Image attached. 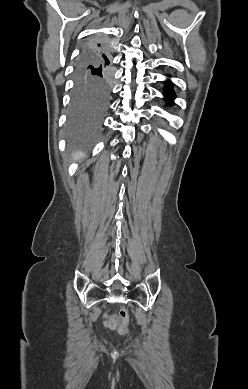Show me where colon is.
I'll use <instances>...</instances> for the list:
<instances>
[{"mask_svg": "<svg viewBox=\"0 0 248 389\" xmlns=\"http://www.w3.org/2000/svg\"><path fill=\"white\" fill-rule=\"evenodd\" d=\"M118 330L123 335H129V313L125 306H120L119 311ZM114 325V324H113Z\"/></svg>", "mask_w": 248, "mask_h": 389, "instance_id": "5ec220e1", "label": "colon"}]
</instances>
